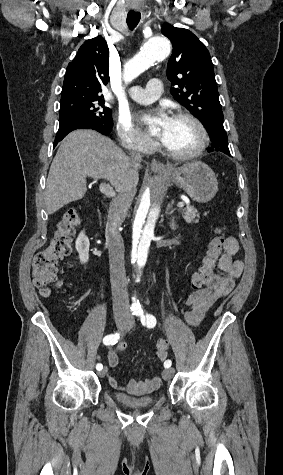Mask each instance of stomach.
<instances>
[{
	"label": "stomach",
	"mask_w": 283,
	"mask_h": 475,
	"mask_svg": "<svg viewBox=\"0 0 283 475\" xmlns=\"http://www.w3.org/2000/svg\"><path fill=\"white\" fill-rule=\"evenodd\" d=\"M165 170L167 172H158V170H153V172L165 178L167 182L182 188L194 202L206 204L218 192L217 178L213 170L204 162H195L193 160V162H186L180 168L165 166Z\"/></svg>",
	"instance_id": "1"
}]
</instances>
